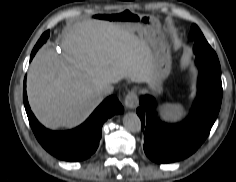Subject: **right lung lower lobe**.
Instances as JSON below:
<instances>
[{
  "label": "right lung lower lobe",
  "mask_w": 236,
  "mask_h": 182,
  "mask_svg": "<svg viewBox=\"0 0 236 182\" xmlns=\"http://www.w3.org/2000/svg\"><path fill=\"white\" fill-rule=\"evenodd\" d=\"M40 47H34L30 60ZM23 101L30 126L39 143L58 159L76 162L89 158L99 146L103 123L124 109L115 95L106 98L80 126L69 131H51L42 126L33 115L26 94L24 80Z\"/></svg>",
  "instance_id": "obj_1"
}]
</instances>
